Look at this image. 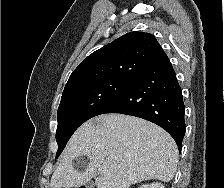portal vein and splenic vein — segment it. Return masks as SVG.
I'll use <instances>...</instances> for the list:
<instances>
[{"mask_svg": "<svg viewBox=\"0 0 224 188\" xmlns=\"http://www.w3.org/2000/svg\"><path fill=\"white\" fill-rule=\"evenodd\" d=\"M99 171H100L101 173L107 174V171H106V170L99 169Z\"/></svg>", "mask_w": 224, "mask_h": 188, "instance_id": "obj_1", "label": "portal vein and splenic vein"}]
</instances>
